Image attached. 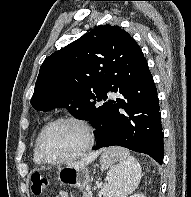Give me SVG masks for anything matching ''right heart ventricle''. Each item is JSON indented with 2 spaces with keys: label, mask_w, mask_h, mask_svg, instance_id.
Returning <instances> with one entry per match:
<instances>
[{
  "label": "right heart ventricle",
  "mask_w": 191,
  "mask_h": 197,
  "mask_svg": "<svg viewBox=\"0 0 191 197\" xmlns=\"http://www.w3.org/2000/svg\"><path fill=\"white\" fill-rule=\"evenodd\" d=\"M33 160H34V163L37 164V165H42L43 164V162L39 159V157L36 153L35 146L33 148Z\"/></svg>",
  "instance_id": "1"
}]
</instances>
